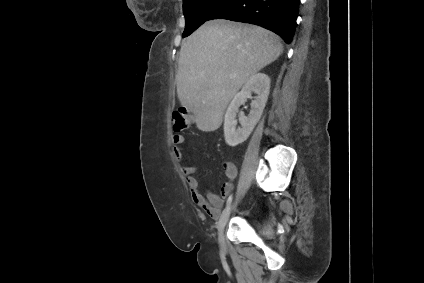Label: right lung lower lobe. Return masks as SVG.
<instances>
[{
    "label": "right lung lower lobe",
    "instance_id": "98d812e1",
    "mask_svg": "<svg viewBox=\"0 0 424 283\" xmlns=\"http://www.w3.org/2000/svg\"><path fill=\"white\" fill-rule=\"evenodd\" d=\"M300 0H228L209 20L227 19L256 24L291 43Z\"/></svg>",
    "mask_w": 424,
    "mask_h": 283
}]
</instances>
